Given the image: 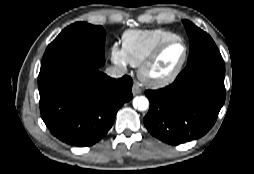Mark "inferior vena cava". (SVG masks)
Here are the masks:
<instances>
[{"label":"inferior vena cava","instance_id":"602c4592","mask_svg":"<svg viewBox=\"0 0 254 174\" xmlns=\"http://www.w3.org/2000/svg\"><path fill=\"white\" fill-rule=\"evenodd\" d=\"M105 72L112 78H121L124 75V70L118 66H110L106 68Z\"/></svg>","mask_w":254,"mask_h":174}]
</instances>
